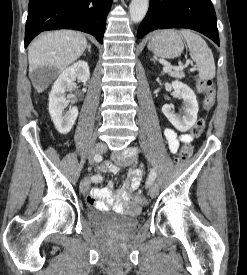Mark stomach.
I'll list each match as a JSON object with an SVG mask.
<instances>
[{"label":"stomach","instance_id":"obj_1","mask_svg":"<svg viewBox=\"0 0 247 275\" xmlns=\"http://www.w3.org/2000/svg\"><path fill=\"white\" fill-rule=\"evenodd\" d=\"M148 49L158 57L171 59L182 53L184 43L182 37L176 31L165 30L151 38Z\"/></svg>","mask_w":247,"mask_h":275}]
</instances>
